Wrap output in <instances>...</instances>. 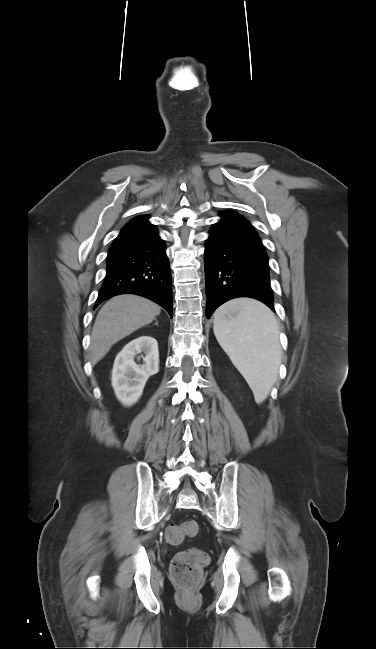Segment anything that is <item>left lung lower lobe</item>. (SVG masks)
I'll return each mask as SVG.
<instances>
[{"instance_id": "1", "label": "left lung lower lobe", "mask_w": 376, "mask_h": 649, "mask_svg": "<svg viewBox=\"0 0 376 649\" xmlns=\"http://www.w3.org/2000/svg\"><path fill=\"white\" fill-rule=\"evenodd\" d=\"M210 229L204 253L206 317L224 302L251 297L274 311L269 261L252 225L237 216H221Z\"/></svg>"}]
</instances>
